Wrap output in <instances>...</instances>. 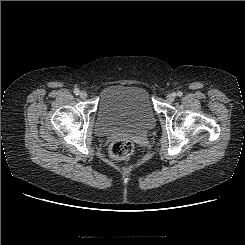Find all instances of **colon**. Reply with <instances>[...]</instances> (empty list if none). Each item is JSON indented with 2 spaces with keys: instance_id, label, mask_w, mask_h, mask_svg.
<instances>
[{
  "instance_id": "colon-1",
  "label": "colon",
  "mask_w": 245,
  "mask_h": 245,
  "mask_svg": "<svg viewBox=\"0 0 245 245\" xmlns=\"http://www.w3.org/2000/svg\"><path fill=\"white\" fill-rule=\"evenodd\" d=\"M133 143L129 139H117L110 145L109 153L115 159H123L132 154Z\"/></svg>"
}]
</instances>
